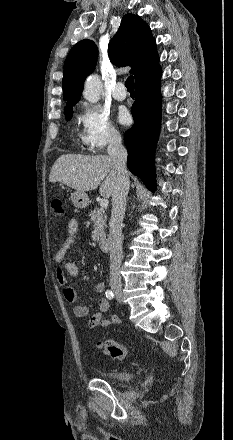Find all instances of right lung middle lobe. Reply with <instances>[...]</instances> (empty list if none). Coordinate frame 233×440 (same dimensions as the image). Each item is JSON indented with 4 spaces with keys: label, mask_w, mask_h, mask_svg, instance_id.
I'll use <instances>...</instances> for the list:
<instances>
[{
    "label": "right lung middle lobe",
    "mask_w": 233,
    "mask_h": 440,
    "mask_svg": "<svg viewBox=\"0 0 233 440\" xmlns=\"http://www.w3.org/2000/svg\"><path fill=\"white\" fill-rule=\"evenodd\" d=\"M72 113H73V105L67 107V108L64 110V114H65V118H66V120H70V119L72 118Z\"/></svg>",
    "instance_id": "right-lung-middle-lobe-1"
}]
</instances>
